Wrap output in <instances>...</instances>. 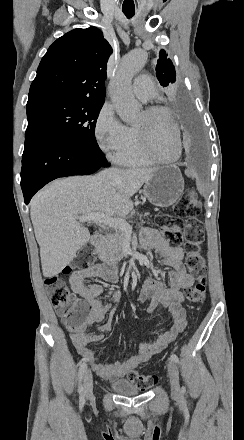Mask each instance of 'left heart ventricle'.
<instances>
[{
	"label": "left heart ventricle",
	"mask_w": 244,
	"mask_h": 440,
	"mask_svg": "<svg viewBox=\"0 0 244 440\" xmlns=\"http://www.w3.org/2000/svg\"><path fill=\"white\" fill-rule=\"evenodd\" d=\"M166 116L162 112L146 115L143 111L135 126L147 127V146H155L156 151H162L164 157H171L173 155L175 136L173 132L169 131L172 127H169Z\"/></svg>",
	"instance_id": "left-heart-ventricle-1"
}]
</instances>
